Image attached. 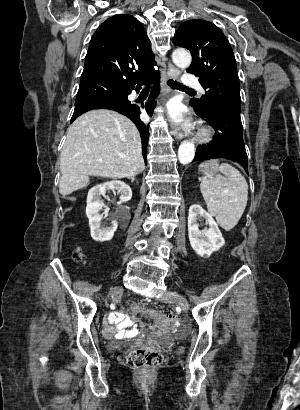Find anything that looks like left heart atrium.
<instances>
[{
	"label": "left heart atrium",
	"instance_id": "39dd6f15",
	"mask_svg": "<svg viewBox=\"0 0 300 410\" xmlns=\"http://www.w3.org/2000/svg\"><path fill=\"white\" fill-rule=\"evenodd\" d=\"M167 115L172 123L176 125L185 124L180 108L177 105H174V104L169 105L167 108Z\"/></svg>",
	"mask_w": 300,
	"mask_h": 410
}]
</instances>
